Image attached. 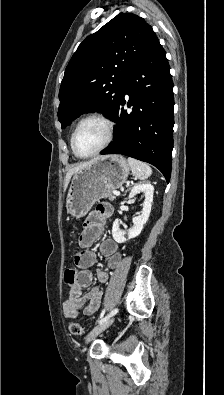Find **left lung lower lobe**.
Returning a JSON list of instances; mask_svg holds the SVG:
<instances>
[{"instance_id":"obj_1","label":"left lung lower lobe","mask_w":224,"mask_h":395,"mask_svg":"<svg viewBox=\"0 0 224 395\" xmlns=\"http://www.w3.org/2000/svg\"><path fill=\"white\" fill-rule=\"evenodd\" d=\"M129 95L123 109L125 95ZM173 82L166 52L159 40L138 62L127 79L124 94L111 119L115 139L101 154H123L171 175L173 149Z\"/></svg>"}]
</instances>
